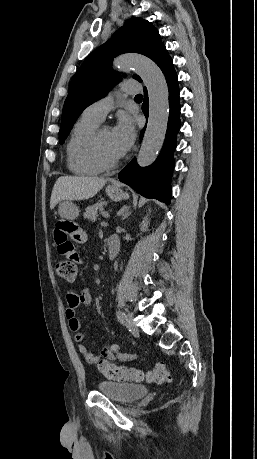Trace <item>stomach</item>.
<instances>
[{"label": "stomach", "instance_id": "obj_1", "mask_svg": "<svg viewBox=\"0 0 257 459\" xmlns=\"http://www.w3.org/2000/svg\"><path fill=\"white\" fill-rule=\"evenodd\" d=\"M106 193L113 201H121L129 197L127 193H124L120 187L115 185L108 186ZM58 213L61 218L68 217L70 220H75L79 216L77 206L69 200H62L59 203Z\"/></svg>", "mask_w": 257, "mask_h": 459}]
</instances>
